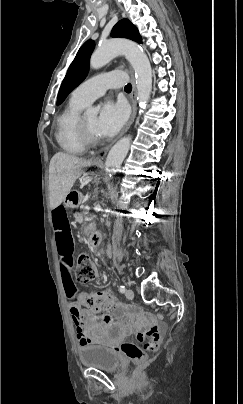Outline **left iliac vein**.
Listing matches in <instances>:
<instances>
[{
    "label": "left iliac vein",
    "mask_w": 243,
    "mask_h": 404,
    "mask_svg": "<svg viewBox=\"0 0 243 404\" xmlns=\"http://www.w3.org/2000/svg\"><path fill=\"white\" fill-rule=\"evenodd\" d=\"M125 295L128 299H132L134 297V293L131 289H127Z\"/></svg>",
    "instance_id": "1"
}]
</instances>
